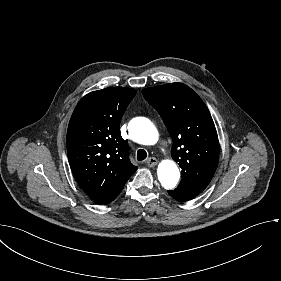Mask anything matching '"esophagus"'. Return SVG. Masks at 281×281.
Returning a JSON list of instances; mask_svg holds the SVG:
<instances>
[{"label": "esophagus", "instance_id": "esophagus-1", "mask_svg": "<svg viewBox=\"0 0 281 281\" xmlns=\"http://www.w3.org/2000/svg\"><path fill=\"white\" fill-rule=\"evenodd\" d=\"M146 164L149 166V167H154L158 164V160L154 157H150L147 161H146Z\"/></svg>", "mask_w": 281, "mask_h": 281}]
</instances>
